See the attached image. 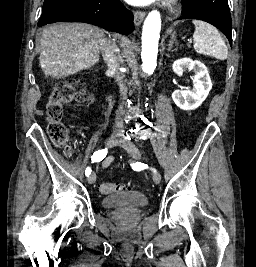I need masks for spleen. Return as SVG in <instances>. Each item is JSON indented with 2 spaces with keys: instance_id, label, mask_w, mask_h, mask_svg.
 I'll return each mask as SVG.
<instances>
[{
  "instance_id": "obj_1",
  "label": "spleen",
  "mask_w": 256,
  "mask_h": 267,
  "mask_svg": "<svg viewBox=\"0 0 256 267\" xmlns=\"http://www.w3.org/2000/svg\"><path fill=\"white\" fill-rule=\"evenodd\" d=\"M195 26L193 34V48L198 54L212 56L216 60H227L228 48L217 28L201 22V20H192ZM190 46V44H189Z\"/></svg>"
}]
</instances>
